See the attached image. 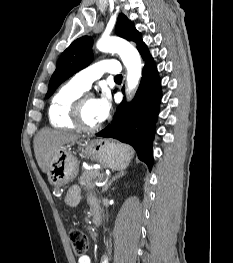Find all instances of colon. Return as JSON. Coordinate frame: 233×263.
Segmentation results:
<instances>
[{"instance_id":"1","label":"colon","mask_w":233,"mask_h":263,"mask_svg":"<svg viewBox=\"0 0 233 263\" xmlns=\"http://www.w3.org/2000/svg\"><path fill=\"white\" fill-rule=\"evenodd\" d=\"M69 239L74 256L78 259L85 256L89 248L87 236L79 229H71Z\"/></svg>"}]
</instances>
